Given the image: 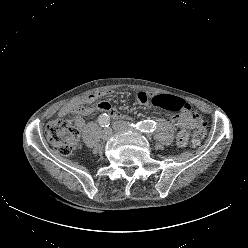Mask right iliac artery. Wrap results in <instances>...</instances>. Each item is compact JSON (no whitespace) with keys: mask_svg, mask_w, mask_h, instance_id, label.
Masks as SVG:
<instances>
[{"mask_svg":"<svg viewBox=\"0 0 248 248\" xmlns=\"http://www.w3.org/2000/svg\"><path fill=\"white\" fill-rule=\"evenodd\" d=\"M98 123L101 127H108L110 125L109 116L106 113L100 115L98 118Z\"/></svg>","mask_w":248,"mask_h":248,"instance_id":"82829eb1","label":"right iliac artery"}]
</instances>
